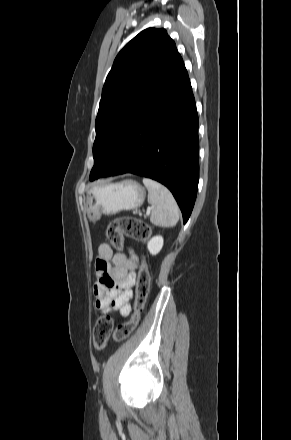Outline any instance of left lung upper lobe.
Returning <instances> with one entry per match:
<instances>
[{
    "label": "left lung upper lobe",
    "mask_w": 291,
    "mask_h": 440,
    "mask_svg": "<svg viewBox=\"0 0 291 440\" xmlns=\"http://www.w3.org/2000/svg\"><path fill=\"white\" fill-rule=\"evenodd\" d=\"M182 62L164 29L143 30L119 52L102 90L90 181L103 173L139 116Z\"/></svg>",
    "instance_id": "left-lung-upper-lobe-1"
}]
</instances>
